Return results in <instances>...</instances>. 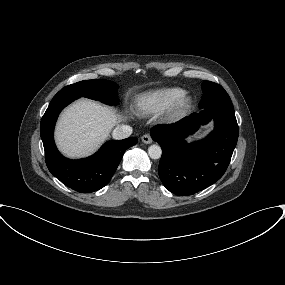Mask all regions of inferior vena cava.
I'll list each match as a JSON object with an SVG mask.
<instances>
[{
	"mask_svg": "<svg viewBox=\"0 0 285 285\" xmlns=\"http://www.w3.org/2000/svg\"><path fill=\"white\" fill-rule=\"evenodd\" d=\"M132 134V127L129 125H118L112 133V136L116 140L125 139Z\"/></svg>",
	"mask_w": 285,
	"mask_h": 285,
	"instance_id": "1",
	"label": "inferior vena cava"
}]
</instances>
